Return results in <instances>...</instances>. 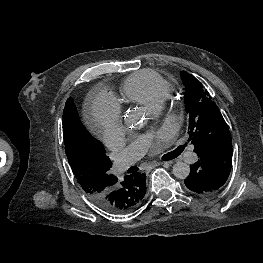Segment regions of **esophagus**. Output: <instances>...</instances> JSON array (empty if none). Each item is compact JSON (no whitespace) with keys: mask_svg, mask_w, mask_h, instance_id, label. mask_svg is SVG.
<instances>
[{"mask_svg":"<svg viewBox=\"0 0 263 263\" xmlns=\"http://www.w3.org/2000/svg\"><path fill=\"white\" fill-rule=\"evenodd\" d=\"M166 163L171 164V162H166ZM162 164H163L162 162H154V163H151V164L147 167V169L150 170V169H152V168H154V167H156V166L162 165Z\"/></svg>","mask_w":263,"mask_h":263,"instance_id":"obj_1","label":"esophagus"}]
</instances>
